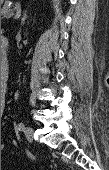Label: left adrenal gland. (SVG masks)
<instances>
[{
	"mask_svg": "<svg viewBox=\"0 0 109 170\" xmlns=\"http://www.w3.org/2000/svg\"><path fill=\"white\" fill-rule=\"evenodd\" d=\"M22 24H24L25 20H26V12L24 13L23 17H22Z\"/></svg>",
	"mask_w": 109,
	"mask_h": 170,
	"instance_id": "a2214340",
	"label": "left adrenal gland"
}]
</instances>
